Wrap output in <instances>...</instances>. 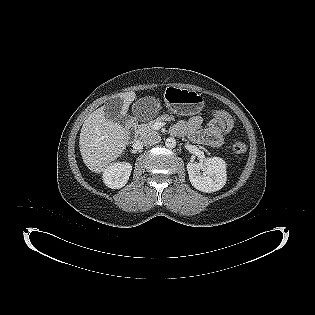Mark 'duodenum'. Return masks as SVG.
Masks as SVG:
<instances>
[{"label": "duodenum", "instance_id": "duodenum-1", "mask_svg": "<svg viewBox=\"0 0 315 315\" xmlns=\"http://www.w3.org/2000/svg\"><path fill=\"white\" fill-rule=\"evenodd\" d=\"M137 128V124L135 123V121L130 120L127 124V132L129 134H133L136 131Z\"/></svg>", "mask_w": 315, "mask_h": 315}]
</instances>
